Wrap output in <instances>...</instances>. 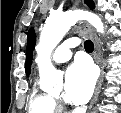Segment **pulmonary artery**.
Instances as JSON below:
<instances>
[{
  "mask_svg": "<svg viewBox=\"0 0 121 113\" xmlns=\"http://www.w3.org/2000/svg\"><path fill=\"white\" fill-rule=\"evenodd\" d=\"M78 45V40L71 38L60 44L52 56L54 63L67 62L72 56V49Z\"/></svg>",
  "mask_w": 121,
  "mask_h": 113,
  "instance_id": "e3ab8cb5",
  "label": "pulmonary artery"
}]
</instances>
